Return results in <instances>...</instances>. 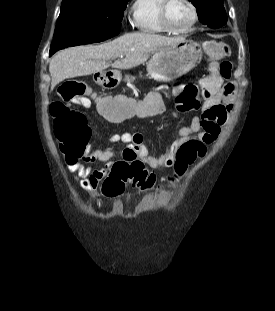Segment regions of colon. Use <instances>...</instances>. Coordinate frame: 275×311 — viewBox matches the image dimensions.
Wrapping results in <instances>:
<instances>
[{
  "label": "colon",
  "instance_id": "obj_1",
  "mask_svg": "<svg viewBox=\"0 0 275 311\" xmlns=\"http://www.w3.org/2000/svg\"><path fill=\"white\" fill-rule=\"evenodd\" d=\"M205 48L209 58L217 61L228 54L225 43L208 41ZM232 65L223 60L218 71L223 78L229 79ZM199 87L194 84L178 85L172 91L176 102L190 101L193 105L199 104ZM58 94L64 102L72 104H90L91 98L88 86L78 80H68L58 89ZM98 112L113 125H124L125 121L143 120L144 117H160L163 113L162 92H148L147 97H99ZM51 115L54 123V134L60 142L62 152L68 158H77L84 151L89 139V126L86 116L78 110L68 107L62 102H55L51 106ZM211 141L213 137H208ZM207 148L200 140L185 142L179 149L176 157L174 174L167 177L169 184L180 181L186 174L189 166L197 159L206 155ZM141 191L156 188L157 176L148 170L139 160L116 162L110 174L102 184L103 195L115 197L122 195L127 185Z\"/></svg>",
  "mask_w": 275,
  "mask_h": 311
}]
</instances>
